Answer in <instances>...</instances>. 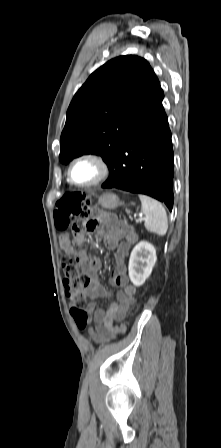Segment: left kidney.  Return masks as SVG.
<instances>
[{"instance_id": "5707ae66", "label": "left kidney", "mask_w": 221, "mask_h": 448, "mask_svg": "<svg viewBox=\"0 0 221 448\" xmlns=\"http://www.w3.org/2000/svg\"><path fill=\"white\" fill-rule=\"evenodd\" d=\"M156 249L146 241H140L132 250L129 259V278L135 286H141L151 275L156 263Z\"/></svg>"}]
</instances>
